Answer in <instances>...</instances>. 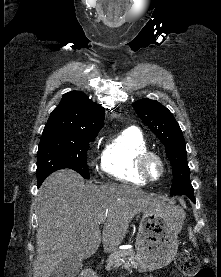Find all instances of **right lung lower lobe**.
<instances>
[{
    "instance_id": "obj_1",
    "label": "right lung lower lobe",
    "mask_w": 221,
    "mask_h": 277,
    "mask_svg": "<svg viewBox=\"0 0 221 277\" xmlns=\"http://www.w3.org/2000/svg\"><path fill=\"white\" fill-rule=\"evenodd\" d=\"M43 181H41V182H38V187L41 185V183H42Z\"/></svg>"
}]
</instances>
